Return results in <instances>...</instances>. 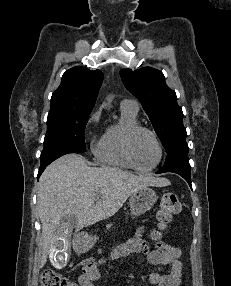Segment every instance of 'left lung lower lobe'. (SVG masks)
Returning a JSON list of instances; mask_svg holds the SVG:
<instances>
[{
    "mask_svg": "<svg viewBox=\"0 0 231 286\" xmlns=\"http://www.w3.org/2000/svg\"><path fill=\"white\" fill-rule=\"evenodd\" d=\"M188 145L186 141L178 142L167 151V158L164 166L157 172H172L182 176L191 187V168L188 160Z\"/></svg>",
    "mask_w": 231,
    "mask_h": 286,
    "instance_id": "0a47b994",
    "label": "left lung lower lobe"
}]
</instances>
